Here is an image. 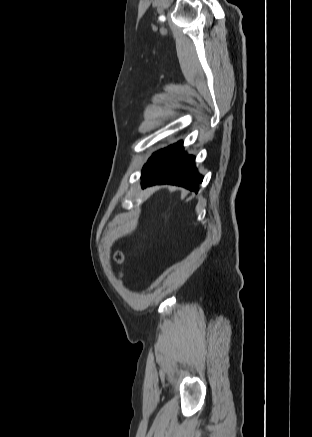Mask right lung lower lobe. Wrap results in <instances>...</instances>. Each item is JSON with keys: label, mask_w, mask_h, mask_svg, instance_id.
Masks as SVG:
<instances>
[{"label": "right lung lower lobe", "mask_w": 312, "mask_h": 437, "mask_svg": "<svg viewBox=\"0 0 312 437\" xmlns=\"http://www.w3.org/2000/svg\"><path fill=\"white\" fill-rule=\"evenodd\" d=\"M194 157L183 151V142L153 154L142 170V187L172 184L198 192L202 176L194 166Z\"/></svg>", "instance_id": "98d812e1"}]
</instances>
